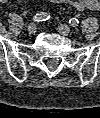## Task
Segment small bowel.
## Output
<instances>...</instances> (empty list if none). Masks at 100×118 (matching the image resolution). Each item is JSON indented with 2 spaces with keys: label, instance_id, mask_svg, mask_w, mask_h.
<instances>
[{
  "label": "small bowel",
  "instance_id": "small-bowel-1",
  "mask_svg": "<svg viewBox=\"0 0 100 118\" xmlns=\"http://www.w3.org/2000/svg\"><path fill=\"white\" fill-rule=\"evenodd\" d=\"M9 0H0L2 3H6ZM54 4H68L73 6L75 9L82 11L85 9L97 11L100 9L99 0H48Z\"/></svg>",
  "mask_w": 100,
  "mask_h": 118
}]
</instances>
